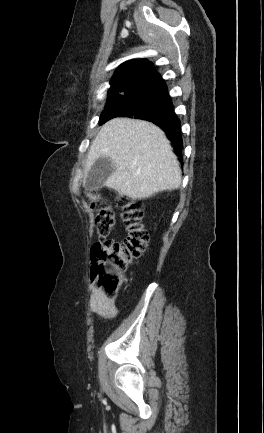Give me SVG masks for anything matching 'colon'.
<instances>
[{
    "label": "colon",
    "instance_id": "1",
    "mask_svg": "<svg viewBox=\"0 0 264 433\" xmlns=\"http://www.w3.org/2000/svg\"><path fill=\"white\" fill-rule=\"evenodd\" d=\"M91 207L97 210L95 221L99 240L91 248V275L104 296L115 298L128 266L146 250L148 233L143 224L142 202L126 196L116 199L126 228L125 238L118 242L109 239L116 224L114 208L97 193L90 192Z\"/></svg>",
    "mask_w": 264,
    "mask_h": 433
}]
</instances>
